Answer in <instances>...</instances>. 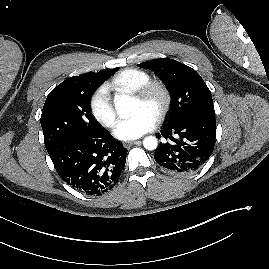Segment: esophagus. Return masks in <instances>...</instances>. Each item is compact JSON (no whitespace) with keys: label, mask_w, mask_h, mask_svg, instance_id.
<instances>
[{"label":"esophagus","mask_w":269,"mask_h":269,"mask_svg":"<svg viewBox=\"0 0 269 269\" xmlns=\"http://www.w3.org/2000/svg\"><path fill=\"white\" fill-rule=\"evenodd\" d=\"M141 143V141L140 140H135V141H125V142H123V146L125 147V148H129L131 145H133V144H140Z\"/></svg>","instance_id":"obj_1"}]
</instances>
